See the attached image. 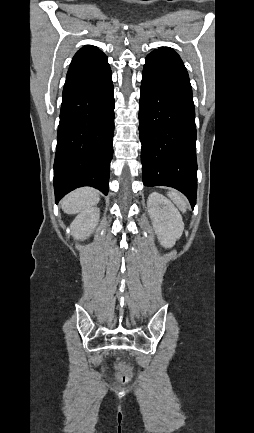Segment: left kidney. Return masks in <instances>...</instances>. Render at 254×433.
Wrapping results in <instances>:
<instances>
[{
  "mask_svg": "<svg viewBox=\"0 0 254 433\" xmlns=\"http://www.w3.org/2000/svg\"><path fill=\"white\" fill-rule=\"evenodd\" d=\"M147 207L160 244L165 248L173 247L184 229L181 214L166 197L157 192L149 195Z\"/></svg>",
  "mask_w": 254,
  "mask_h": 433,
  "instance_id": "left-kidney-1",
  "label": "left kidney"
}]
</instances>
